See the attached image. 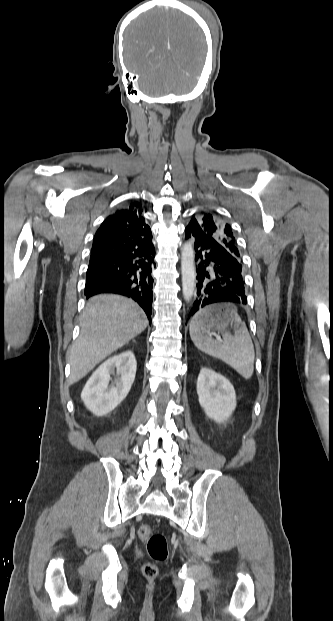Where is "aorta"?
<instances>
[{"label":"aorta","instance_id":"762f6f07","mask_svg":"<svg viewBox=\"0 0 333 621\" xmlns=\"http://www.w3.org/2000/svg\"><path fill=\"white\" fill-rule=\"evenodd\" d=\"M182 291L184 299L189 303L195 290L196 270L193 246L185 243L181 252Z\"/></svg>","mask_w":333,"mask_h":621}]
</instances>
